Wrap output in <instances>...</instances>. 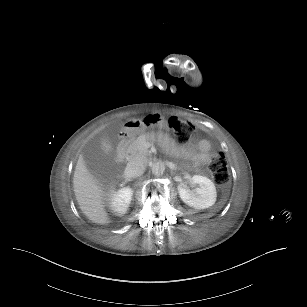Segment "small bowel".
Masks as SVG:
<instances>
[{"instance_id": "obj_1", "label": "small bowel", "mask_w": 307, "mask_h": 307, "mask_svg": "<svg viewBox=\"0 0 307 307\" xmlns=\"http://www.w3.org/2000/svg\"><path fill=\"white\" fill-rule=\"evenodd\" d=\"M187 153L196 166L209 163L214 155L211 151L210 143L205 139L190 145L187 149Z\"/></svg>"}]
</instances>
